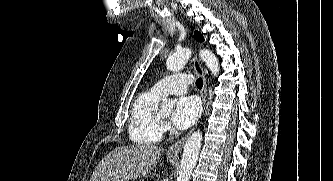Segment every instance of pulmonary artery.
<instances>
[{
  "instance_id": "obj_1",
  "label": "pulmonary artery",
  "mask_w": 333,
  "mask_h": 181,
  "mask_svg": "<svg viewBox=\"0 0 333 181\" xmlns=\"http://www.w3.org/2000/svg\"><path fill=\"white\" fill-rule=\"evenodd\" d=\"M192 82V77L189 74H176L166 77L157 82L152 90L157 95L163 97L168 94H183L187 90V85Z\"/></svg>"
}]
</instances>
